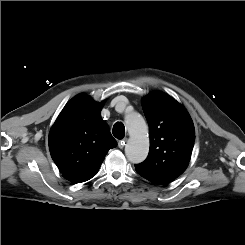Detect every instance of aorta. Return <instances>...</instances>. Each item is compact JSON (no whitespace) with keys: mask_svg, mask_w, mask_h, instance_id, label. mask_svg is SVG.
<instances>
[{"mask_svg":"<svg viewBox=\"0 0 245 245\" xmlns=\"http://www.w3.org/2000/svg\"><path fill=\"white\" fill-rule=\"evenodd\" d=\"M130 138L125 146L127 159L132 163L143 162L149 152L148 127L143 117L132 111L125 116Z\"/></svg>","mask_w":245,"mask_h":245,"instance_id":"obj_1","label":"aorta"}]
</instances>
